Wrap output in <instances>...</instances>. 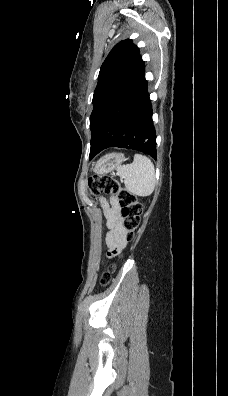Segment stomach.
Returning a JSON list of instances; mask_svg holds the SVG:
<instances>
[{
  "label": "stomach",
  "instance_id": "obj_1",
  "mask_svg": "<svg viewBox=\"0 0 228 396\" xmlns=\"http://www.w3.org/2000/svg\"><path fill=\"white\" fill-rule=\"evenodd\" d=\"M125 157L120 153H112L102 157L95 165L94 172L98 175L107 174L121 166Z\"/></svg>",
  "mask_w": 228,
  "mask_h": 396
}]
</instances>
